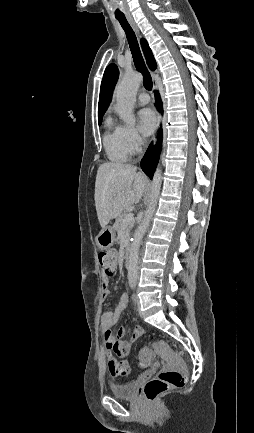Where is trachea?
<instances>
[{
  "label": "trachea",
  "instance_id": "obj_1",
  "mask_svg": "<svg viewBox=\"0 0 254 433\" xmlns=\"http://www.w3.org/2000/svg\"><path fill=\"white\" fill-rule=\"evenodd\" d=\"M119 23L121 24L122 28L124 29L128 44L132 53L133 61L135 64L136 69L143 75V81L144 86L147 90L152 89V78L149 73V71L146 68L144 59L142 57L139 44L136 38V35L132 28L130 27L129 23L127 22L126 18H117Z\"/></svg>",
  "mask_w": 254,
  "mask_h": 433
}]
</instances>
